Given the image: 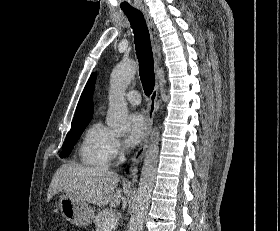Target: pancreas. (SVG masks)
Here are the masks:
<instances>
[{"label": "pancreas", "mask_w": 280, "mask_h": 231, "mask_svg": "<svg viewBox=\"0 0 280 231\" xmlns=\"http://www.w3.org/2000/svg\"><path fill=\"white\" fill-rule=\"evenodd\" d=\"M112 215H116L115 211H112V209H98L94 217L96 231H103L102 225L105 219H110Z\"/></svg>", "instance_id": "pancreas-1"}]
</instances>
